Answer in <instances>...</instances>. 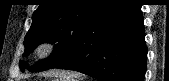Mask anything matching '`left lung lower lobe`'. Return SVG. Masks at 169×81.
Instances as JSON below:
<instances>
[{
    "instance_id": "0a47b994",
    "label": "left lung lower lobe",
    "mask_w": 169,
    "mask_h": 81,
    "mask_svg": "<svg viewBox=\"0 0 169 81\" xmlns=\"http://www.w3.org/2000/svg\"><path fill=\"white\" fill-rule=\"evenodd\" d=\"M141 4L114 0L84 30L70 57L54 68L101 81H143L147 48Z\"/></svg>"
}]
</instances>
